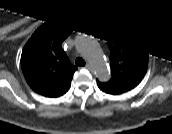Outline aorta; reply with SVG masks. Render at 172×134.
I'll list each match as a JSON object with an SVG mask.
<instances>
[{"label":"aorta","mask_w":172,"mask_h":134,"mask_svg":"<svg viewBox=\"0 0 172 134\" xmlns=\"http://www.w3.org/2000/svg\"><path fill=\"white\" fill-rule=\"evenodd\" d=\"M83 53L97 78L100 80H107L110 76V71L100 47L96 43L89 42L85 44Z\"/></svg>","instance_id":"1"}]
</instances>
